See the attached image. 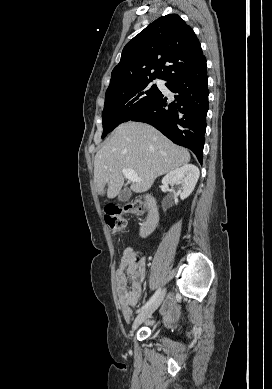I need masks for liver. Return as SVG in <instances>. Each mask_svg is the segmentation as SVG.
Returning a JSON list of instances; mask_svg holds the SVG:
<instances>
[{
	"mask_svg": "<svg viewBox=\"0 0 272 389\" xmlns=\"http://www.w3.org/2000/svg\"><path fill=\"white\" fill-rule=\"evenodd\" d=\"M190 161L189 152L167 139L145 123L126 122L119 125L94 159V182L98 193L108 198L117 196L124 184L123 169L135 171L140 182L131 190L148 191L155 179ZM108 188L104 191L105 185Z\"/></svg>",
	"mask_w": 272,
	"mask_h": 389,
	"instance_id": "obj_1",
	"label": "liver"
}]
</instances>
